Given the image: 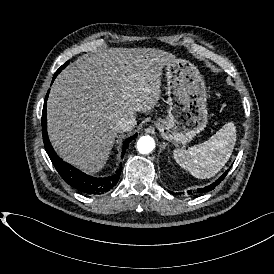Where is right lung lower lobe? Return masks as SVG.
Segmentation results:
<instances>
[{"mask_svg":"<svg viewBox=\"0 0 274 274\" xmlns=\"http://www.w3.org/2000/svg\"><path fill=\"white\" fill-rule=\"evenodd\" d=\"M58 75V71L54 74L52 82ZM49 91L47 92L43 112H42V135L44 141L45 150L52 161L53 165L55 166L56 170L60 174V176L64 179V181L78 190L81 193H85L87 195H98L103 194L113 188L120 177L122 166L116 171V173L112 176L106 178H95L85 173L81 172L80 170L76 169L75 167L71 166L70 164L62 161V159L55 153L54 149L52 148L48 135H47V118H46V101L48 98ZM137 134L133 135L132 137L126 139L123 144L122 156L125 153L128 144L135 139Z\"/></svg>","mask_w":274,"mask_h":274,"instance_id":"obj_1","label":"right lung lower lobe"}]
</instances>
